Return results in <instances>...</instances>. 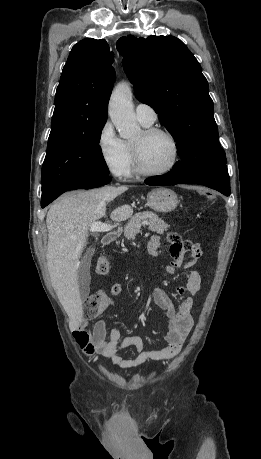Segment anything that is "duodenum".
<instances>
[{
    "label": "duodenum",
    "instance_id": "obj_1",
    "mask_svg": "<svg viewBox=\"0 0 261 459\" xmlns=\"http://www.w3.org/2000/svg\"><path fill=\"white\" fill-rule=\"evenodd\" d=\"M118 236V232L117 231H111V232H108L104 235L103 239H102V242L104 245H108L110 243H112Z\"/></svg>",
    "mask_w": 261,
    "mask_h": 459
}]
</instances>
